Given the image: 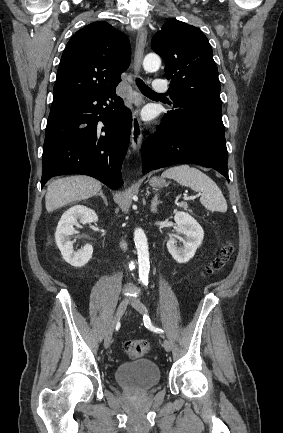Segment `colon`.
<instances>
[{
	"mask_svg": "<svg viewBox=\"0 0 283 433\" xmlns=\"http://www.w3.org/2000/svg\"><path fill=\"white\" fill-rule=\"evenodd\" d=\"M233 251V243L231 241L226 242L222 248L221 254L213 259V261L204 269V274L212 275L222 271L231 259ZM124 352L127 356L133 359L143 358L150 352V343L143 339L129 340L124 344Z\"/></svg>",
	"mask_w": 283,
	"mask_h": 433,
	"instance_id": "1",
	"label": "colon"
}]
</instances>
